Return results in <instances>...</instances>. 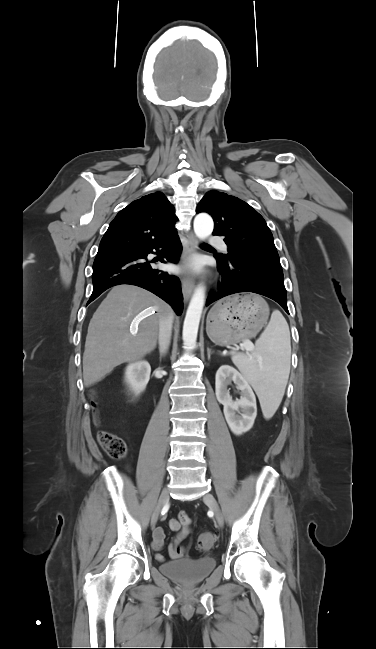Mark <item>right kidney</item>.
Here are the masks:
<instances>
[{"label": "right kidney", "instance_id": "right-kidney-1", "mask_svg": "<svg viewBox=\"0 0 376 649\" xmlns=\"http://www.w3.org/2000/svg\"><path fill=\"white\" fill-rule=\"evenodd\" d=\"M150 373V364L144 360L130 363L126 367L125 382L136 396L145 390Z\"/></svg>", "mask_w": 376, "mask_h": 649}]
</instances>
